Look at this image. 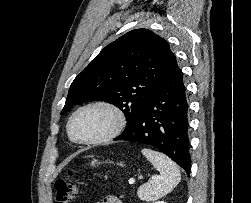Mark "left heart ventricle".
I'll list each match as a JSON object with an SVG mask.
<instances>
[{"label": "left heart ventricle", "instance_id": "left-heart-ventricle-1", "mask_svg": "<svg viewBox=\"0 0 251 203\" xmlns=\"http://www.w3.org/2000/svg\"><path fill=\"white\" fill-rule=\"evenodd\" d=\"M113 117L100 108L80 112L73 120L72 130L79 139H92L105 133L112 125Z\"/></svg>", "mask_w": 251, "mask_h": 203}]
</instances>
